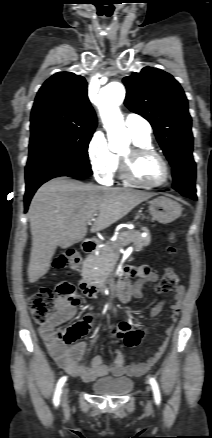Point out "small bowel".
I'll use <instances>...</instances> for the list:
<instances>
[{
	"instance_id": "c3829d8e",
	"label": "small bowel",
	"mask_w": 212,
	"mask_h": 438,
	"mask_svg": "<svg viewBox=\"0 0 212 438\" xmlns=\"http://www.w3.org/2000/svg\"><path fill=\"white\" fill-rule=\"evenodd\" d=\"M135 277L138 279L133 285H131L128 280ZM157 280L158 274L149 266L128 265L125 268L123 278L119 283L118 298L122 303H128L133 298L143 299L145 297L143 285ZM63 285L69 284L62 282L58 285L57 289ZM183 297L184 288L179 286L176 290L174 301L170 306L171 325L165 330L167 336H170L173 331V325L177 321ZM163 306L164 301L157 302L150 311V317L152 319L155 318L162 311ZM76 307L77 302L71 304L64 300H59L55 316L50 323L41 325L39 327V332L50 354L58 365L68 374L81 378L85 382H91L109 374L114 376L142 375L158 361L167 347L168 338H165L153 355L145 361H133L130 364H126L123 354L119 350H116L114 360L110 364H105L101 355L94 356L90 364H85L82 362V358L86 350V343L81 341L70 345L71 343L61 341L54 331L55 326L65 323L76 316ZM94 319L95 315L89 314L82 322L88 327L94 322ZM110 336L123 341L128 347H132L141 342L144 336V331L141 329L134 330L129 323L120 322L110 327Z\"/></svg>"
}]
</instances>
